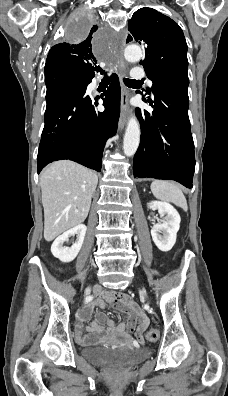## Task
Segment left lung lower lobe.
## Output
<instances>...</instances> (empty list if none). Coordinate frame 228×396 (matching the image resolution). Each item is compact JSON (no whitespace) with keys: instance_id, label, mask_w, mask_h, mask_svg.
I'll use <instances>...</instances> for the list:
<instances>
[{"instance_id":"0a47b994","label":"left lung lower lobe","mask_w":228,"mask_h":396,"mask_svg":"<svg viewBox=\"0 0 228 396\" xmlns=\"http://www.w3.org/2000/svg\"><path fill=\"white\" fill-rule=\"evenodd\" d=\"M147 100L152 113L136 108L141 139L133 160L134 177L175 180L192 188L194 143L188 117V89L155 85Z\"/></svg>"}]
</instances>
